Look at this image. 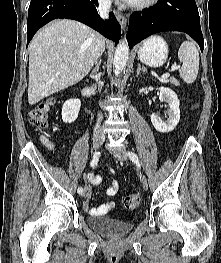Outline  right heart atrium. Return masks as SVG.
I'll return each mask as SVG.
<instances>
[{
  "label": "right heart atrium",
  "instance_id": "obj_1",
  "mask_svg": "<svg viewBox=\"0 0 221 263\" xmlns=\"http://www.w3.org/2000/svg\"><path fill=\"white\" fill-rule=\"evenodd\" d=\"M100 4H102L103 6H109L110 4V0H99Z\"/></svg>",
  "mask_w": 221,
  "mask_h": 263
}]
</instances>
